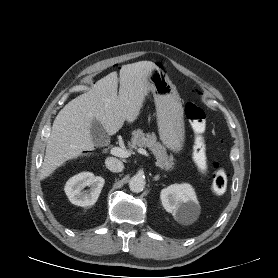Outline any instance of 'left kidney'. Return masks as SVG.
<instances>
[{
    "mask_svg": "<svg viewBox=\"0 0 278 278\" xmlns=\"http://www.w3.org/2000/svg\"><path fill=\"white\" fill-rule=\"evenodd\" d=\"M160 198L165 210L182 224L194 222L200 213V205L190 184L170 185L161 191Z\"/></svg>",
    "mask_w": 278,
    "mask_h": 278,
    "instance_id": "5707ae66",
    "label": "left kidney"
}]
</instances>
